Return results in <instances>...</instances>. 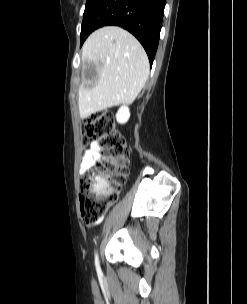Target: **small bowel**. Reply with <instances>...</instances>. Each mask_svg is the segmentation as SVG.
Here are the masks:
<instances>
[{"label":"small bowel","instance_id":"1","mask_svg":"<svg viewBox=\"0 0 247 304\" xmlns=\"http://www.w3.org/2000/svg\"><path fill=\"white\" fill-rule=\"evenodd\" d=\"M101 159L100 147L96 142H93L89 149H87L82 157L80 164V174H85ZM100 221V220H99Z\"/></svg>","mask_w":247,"mask_h":304}]
</instances>
